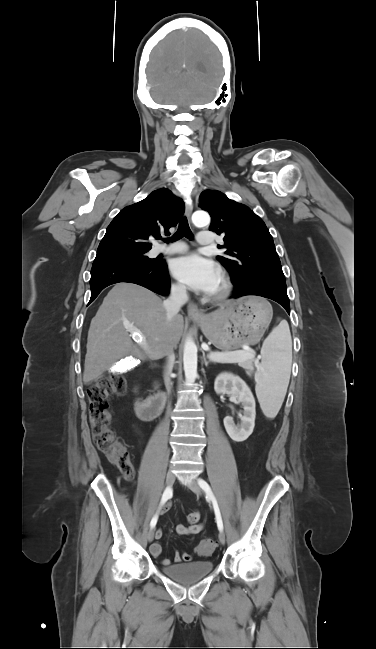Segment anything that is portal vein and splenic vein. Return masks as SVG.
<instances>
[{
	"mask_svg": "<svg viewBox=\"0 0 376 649\" xmlns=\"http://www.w3.org/2000/svg\"><path fill=\"white\" fill-rule=\"evenodd\" d=\"M128 330L132 334V338L137 343H142L143 337L138 333L132 325L127 326ZM255 356L251 352L241 353V352H225V353H215L210 354L209 358L213 362L217 363H236L245 361L247 359H253Z\"/></svg>",
	"mask_w": 376,
	"mask_h": 649,
	"instance_id": "portal-vein-and-splenic-vein-1",
	"label": "portal vein and splenic vein"
}]
</instances>
